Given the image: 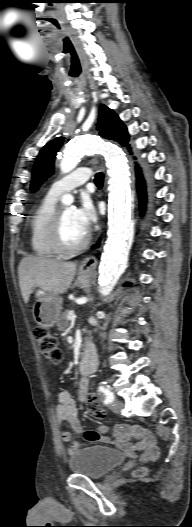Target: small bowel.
Returning a JSON list of instances; mask_svg holds the SVG:
<instances>
[{
  "label": "small bowel",
  "mask_w": 192,
  "mask_h": 527,
  "mask_svg": "<svg viewBox=\"0 0 192 527\" xmlns=\"http://www.w3.org/2000/svg\"><path fill=\"white\" fill-rule=\"evenodd\" d=\"M87 393L88 382L87 379L83 378L79 384L80 400H84ZM55 413L59 426L62 423L67 422L70 424L73 433L77 435L81 434L82 426L78 419L77 405L69 392L61 391L59 393L58 405L56 406ZM112 432L108 433V427L104 424H101L98 426L97 431H84L82 433V438L89 442L99 441L118 446L128 453V457L132 461L138 459L140 463H143L147 458L150 463L155 461L154 456L156 455L157 451L149 441V429L147 427H142L139 423H136L134 426H132L130 421H117L115 423V427L112 429ZM73 433L70 431L61 432L62 440L64 442H69V455H73L80 449V443L78 441L72 440ZM132 437L137 438L139 441L135 444L132 443ZM138 450L142 451L140 457L137 452Z\"/></svg>",
  "instance_id": "c3829d8e"
}]
</instances>
